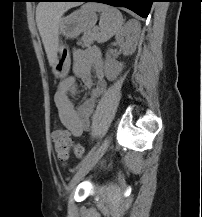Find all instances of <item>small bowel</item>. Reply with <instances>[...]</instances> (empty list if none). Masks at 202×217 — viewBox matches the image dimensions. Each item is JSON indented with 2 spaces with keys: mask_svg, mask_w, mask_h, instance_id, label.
<instances>
[{
  "mask_svg": "<svg viewBox=\"0 0 202 217\" xmlns=\"http://www.w3.org/2000/svg\"><path fill=\"white\" fill-rule=\"evenodd\" d=\"M75 76H70L59 83L54 103L61 123L75 136H81L89 127L90 117L99 97L105 92L107 83L104 79V62L100 52L95 49L76 50L73 53ZM94 72L96 81L92 79ZM76 77L90 88L89 97L76 107L71 95L76 91Z\"/></svg>",
  "mask_w": 202,
  "mask_h": 217,
  "instance_id": "1",
  "label": "small bowel"
}]
</instances>
